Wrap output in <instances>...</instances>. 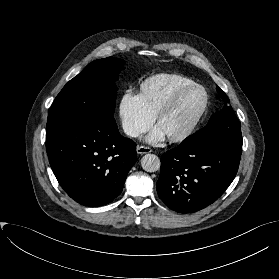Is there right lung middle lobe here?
Here are the masks:
<instances>
[{"label": "right lung middle lobe", "instance_id": "dd1d6c3e", "mask_svg": "<svg viewBox=\"0 0 279 279\" xmlns=\"http://www.w3.org/2000/svg\"><path fill=\"white\" fill-rule=\"evenodd\" d=\"M124 64V60L114 57L98 59L70 80L51 106L46 138L90 118L115 121V80Z\"/></svg>", "mask_w": 279, "mask_h": 279}]
</instances>
